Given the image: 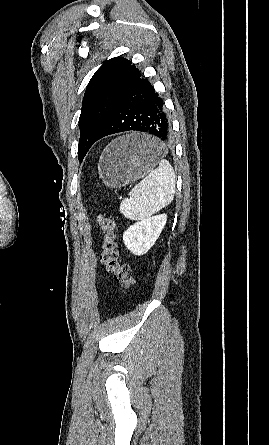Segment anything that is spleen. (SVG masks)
<instances>
[{
    "mask_svg": "<svg viewBox=\"0 0 269 445\" xmlns=\"http://www.w3.org/2000/svg\"><path fill=\"white\" fill-rule=\"evenodd\" d=\"M175 194V173L171 164L161 159L120 203L121 213L130 220H143L170 204Z\"/></svg>",
    "mask_w": 269,
    "mask_h": 445,
    "instance_id": "spleen-1",
    "label": "spleen"
}]
</instances>
